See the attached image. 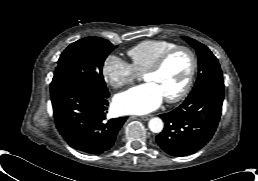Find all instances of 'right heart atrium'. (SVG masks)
<instances>
[{
    "label": "right heart atrium",
    "instance_id": "d8ad5b80",
    "mask_svg": "<svg viewBox=\"0 0 258 181\" xmlns=\"http://www.w3.org/2000/svg\"><path fill=\"white\" fill-rule=\"evenodd\" d=\"M102 75L105 82L115 89L132 83L138 77L130 63L115 55H109L104 60Z\"/></svg>",
    "mask_w": 258,
    "mask_h": 181
}]
</instances>
